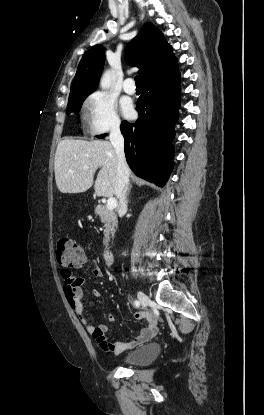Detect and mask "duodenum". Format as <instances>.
<instances>
[{
    "instance_id": "duodenum-1",
    "label": "duodenum",
    "mask_w": 264,
    "mask_h": 415,
    "mask_svg": "<svg viewBox=\"0 0 264 415\" xmlns=\"http://www.w3.org/2000/svg\"><path fill=\"white\" fill-rule=\"evenodd\" d=\"M103 261L107 266H112L114 263V254L111 249H106L103 253Z\"/></svg>"
}]
</instances>
